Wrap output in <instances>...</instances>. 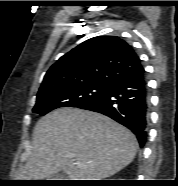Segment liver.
<instances>
[{"instance_id":"liver-1","label":"liver","mask_w":178,"mask_h":186,"mask_svg":"<svg viewBox=\"0 0 178 186\" xmlns=\"http://www.w3.org/2000/svg\"><path fill=\"white\" fill-rule=\"evenodd\" d=\"M137 149L133 133L109 117L59 108L36 123L19 178L44 180L62 171L70 180H102L129 165Z\"/></svg>"}]
</instances>
